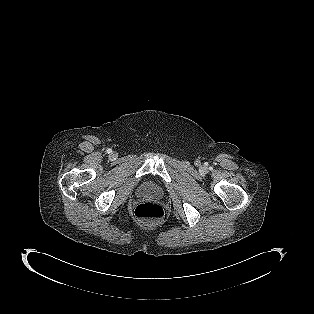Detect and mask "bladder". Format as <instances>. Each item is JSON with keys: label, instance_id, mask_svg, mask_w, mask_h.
<instances>
[{"label": "bladder", "instance_id": "obj_1", "mask_svg": "<svg viewBox=\"0 0 314 314\" xmlns=\"http://www.w3.org/2000/svg\"><path fill=\"white\" fill-rule=\"evenodd\" d=\"M145 192L148 193V194L155 195V194H157L159 192V189L156 186L147 185L145 187Z\"/></svg>", "mask_w": 314, "mask_h": 314}]
</instances>
